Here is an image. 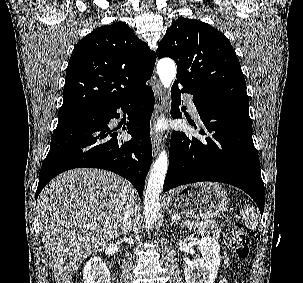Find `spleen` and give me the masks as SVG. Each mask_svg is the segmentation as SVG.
Returning <instances> with one entry per match:
<instances>
[{"label":"spleen","instance_id":"obj_1","mask_svg":"<svg viewBox=\"0 0 303 283\" xmlns=\"http://www.w3.org/2000/svg\"><path fill=\"white\" fill-rule=\"evenodd\" d=\"M240 214L247 228L254 229L257 227L258 225L257 213L253 206L245 205L241 209Z\"/></svg>","mask_w":303,"mask_h":283}]
</instances>
